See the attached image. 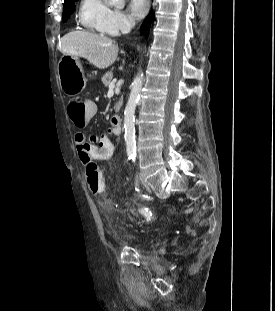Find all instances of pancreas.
Segmentation results:
<instances>
[{
	"mask_svg": "<svg viewBox=\"0 0 275 311\" xmlns=\"http://www.w3.org/2000/svg\"><path fill=\"white\" fill-rule=\"evenodd\" d=\"M113 79V73L112 71H108L104 74L102 77V83L104 84L105 87H107Z\"/></svg>",
	"mask_w": 275,
	"mask_h": 311,
	"instance_id": "pancreas-1",
	"label": "pancreas"
}]
</instances>
